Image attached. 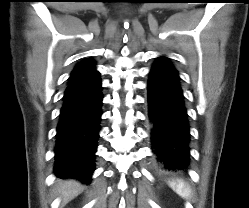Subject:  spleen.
<instances>
[{"instance_id":"spleen-1","label":"spleen","mask_w":249,"mask_h":208,"mask_svg":"<svg viewBox=\"0 0 249 208\" xmlns=\"http://www.w3.org/2000/svg\"><path fill=\"white\" fill-rule=\"evenodd\" d=\"M170 187L181 197L189 198L191 194V190L185 183L181 180L171 181Z\"/></svg>"}]
</instances>
